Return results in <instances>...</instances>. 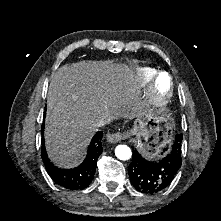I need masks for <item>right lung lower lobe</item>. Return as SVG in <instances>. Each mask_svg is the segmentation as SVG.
<instances>
[{
	"label": "right lung lower lobe",
	"mask_w": 221,
	"mask_h": 221,
	"mask_svg": "<svg viewBox=\"0 0 221 221\" xmlns=\"http://www.w3.org/2000/svg\"><path fill=\"white\" fill-rule=\"evenodd\" d=\"M44 126H42V131ZM103 132H97L91 140L88 147L87 156L83 163L74 169H59L54 166L46 153L44 147V136L42 132V159L48 174L58 185L70 189V190H81L86 188L94 178L96 172V164L99 155L102 153L103 148L101 146V139Z\"/></svg>",
	"instance_id": "98d812e1"
}]
</instances>
